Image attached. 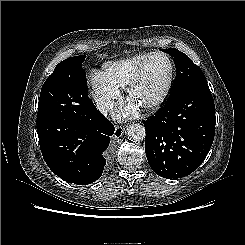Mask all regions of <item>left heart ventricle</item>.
Segmentation results:
<instances>
[{"label": "left heart ventricle", "mask_w": 245, "mask_h": 245, "mask_svg": "<svg viewBox=\"0 0 245 245\" xmlns=\"http://www.w3.org/2000/svg\"><path fill=\"white\" fill-rule=\"evenodd\" d=\"M168 69V62L165 58H151L147 64L143 79L134 90L130 101L138 107L154 101L164 87Z\"/></svg>", "instance_id": "left-heart-ventricle-1"}]
</instances>
